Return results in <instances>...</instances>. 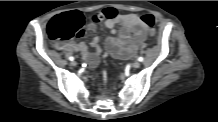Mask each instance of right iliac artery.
I'll return each mask as SVG.
<instances>
[{"instance_id":"82829eb1","label":"right iliac artery","mask_w":218,"mask_h":122,"mask_svg":"<svg viewBox=\"0 0 218 122\" xmlns=\"http://www.w3.org/2000/svg\"><path fill=\"white\" fill-rule=\"evenodd\" d=\"M69 60H70V61H73V60H74V57L70 56V57H69Z\"/></svg>"}]
</instances>
